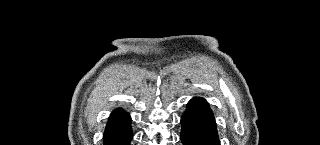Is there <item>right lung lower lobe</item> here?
Instances as JSON below:
<instances>
[{
    "mask_svg": "<svg viewBox=\"0 0 320 145\" xmlns=\"http://www.w3.org/2000/svg\"><path fill=\"white\" fill-rule=\"evenodd\" d=\"M132 137L130 115L120 108L114 110L103 135L104 145H129Z\"/></svg>",
    "mask_w": 320,
    "mask_h": 145,
    "instance_id": "obj_1",
    "label": "right lung lower lobe"
}]
</instances>
